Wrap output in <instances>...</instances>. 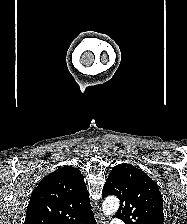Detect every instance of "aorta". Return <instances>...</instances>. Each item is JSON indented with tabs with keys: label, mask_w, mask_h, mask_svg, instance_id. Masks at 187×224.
<instances>
[{
	"label": "aorta",
	"mask_w": 187,
	"mask_h": 224,
	"mask_svg": "<svg viewBox=\"0 0 187 224\" xmlns=\"http://www.w3.org/2000/svg\"><path fill=\"white\" fill-rule=\"evenodd\" d=\"M120 205L119 199L116 197H107L102 204V210L106 216H112L116 213Z\"/></svg>",
	"instance_id": "obj_1"
}]
</instances>
